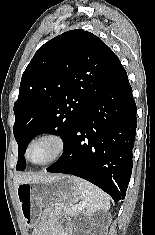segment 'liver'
Returning a JSON list of instances; mask_svg holds the SVG:
<instances>
[{"mask_svg": "<svg viewBox=\"0 0 155 235\" xmlns=\"http://www.w3.org/2000/svg\"><path fill=\"white\" fill-rule=\"evenodd\" d=\"M54 177L56 176L43 174V173H21V174H17L14 177V185H15V188H17L18 185L21 183L44 181V180H48Z\"/></svg>", "mask_w": 155, "mask_h": 235, "instance_id": "liver-1", "label": "liver"}]
</instances>
